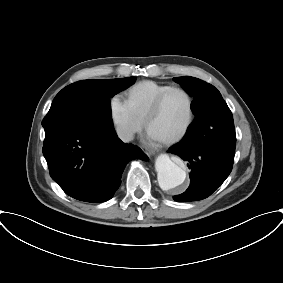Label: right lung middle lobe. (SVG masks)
Here are the masks:
<instances>
[{
	"label": "right lung middle lobe",
	"instance_id": "obj_1",
	"mask_svg": "<svg viewBox=\"0 0 283 283\" xmlns=\"http://www.w3.org/2000/svg\"><path fill=\"white\" fill-rule=\"evenodd\" d=\"M134 82V77L91 79L66 86L42 121L45 132L63 125L113 127L110 98Z\"/></svg>",
	"mask_w": 283,
	"mask_h": 283
}]
</instances>
